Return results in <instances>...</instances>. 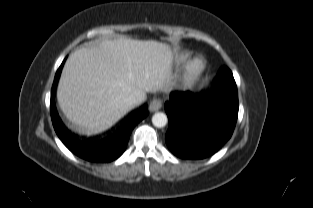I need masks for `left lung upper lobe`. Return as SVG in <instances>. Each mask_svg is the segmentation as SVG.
Segmentation results:
<instances>
[{"label":"left lung upper lobe","mask_w":313,"mask_h":208,"mask_svg":"<svg viewBox=\"0 0 313 208\" xmlns=\"http://www.w3.org/2000/svg\"><path fill=\"white\" fill-rule=\"evenodd\" d=\"M216 79L224 80V81H235L233 78V74H232L231 70L227 67H223L220 70Z\"/></svg>","instance_id":"5c2ea615"}]
</instances>
